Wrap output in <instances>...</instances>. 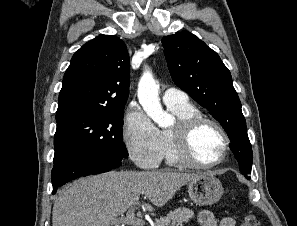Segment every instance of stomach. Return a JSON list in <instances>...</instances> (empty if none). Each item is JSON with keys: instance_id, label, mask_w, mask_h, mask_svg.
Masks as SVG:
<instances>
[{"instance_id": "obj_1", "label": "stomach", "mask_w": 297, "mask_h": 226, "mask_svg": "<svg viewBox=\"0 0 297 226\" xmlns=\"http://www.w3.org/2000/svg\"><path fill=\"white\" fill-rule=\"evenodd\" d=\"M222 183L219 179L205 175L188 184L189 197L197 205H212L223 195Z\"/></svg>"}]
</instances>
